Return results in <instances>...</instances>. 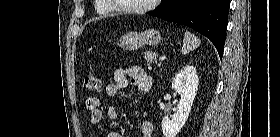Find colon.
I'll return each instance as SVG.
<instances>
[{"label": "colon", "instance_id": "obj_1", "mask_svg": "<svg viewBox=\"0 0 280 137\" xmlns=\"http://www.w3.org/2000/svg\"><path fill=\"white\" fill-rule=\"evenodd\" d=\"M101 86V78L96 74H89L85 77V87L90 92H96Z\"/></svg>", "mask_w": 280, "mask_h": 137}]
</instances>
